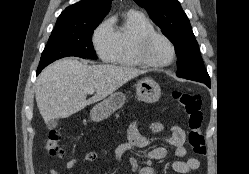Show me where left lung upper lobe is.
<instances>
[{
    "label": "left lung upper lobe",
    "mask_w": 249,
    "mask_h": 174,
    "mask_svg": "<svg viewBox=\"0 0 249 174\" xmlns=\"http://www.w3.org/2000/svg\"><path fill=\"white\" fill-rule=\"evenodd\" d=\"M146 9L152 21L174 44L177 54V76L193 80L210 79L202 61L188 17L177 0H134Z\"/></svg>",
    "instance_id": "1"
}]
</instances>
